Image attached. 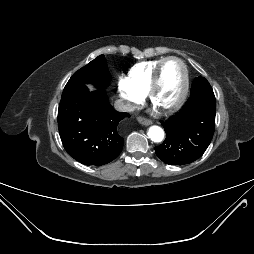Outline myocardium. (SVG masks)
Here are the masks:
<instances>
[{"instance_id":"f54148a6","label":"myocardium","mask_w":254,"mask_h":254,"mask_svg":"<svg viewBox=\"0 0 254 254\" xmlns=\"http://www.w3.org/2000/svg\"><path fill=\"white\" fill-rule=\"evenodd\" d=\"M177 61L183 69V83H182V88H181V92L178 96V98L176 99L175 102H173L171 105L166 106V107H162V108H157L158 111L160 113L163 114H171L176 112L178 109H180L182 107V105L184 104L187 95H188V91H189V71H188V67L186 65V63L184 62V60H182L181 58L177 57V56H168L165 57L156 67L150 86L147 90V98L149 100V102L154 105V97L155 94L160 86V82H161V74H162V70L164 65L169 62V61Z\"/></svg>"}]
</instances>
